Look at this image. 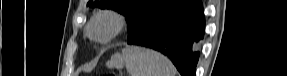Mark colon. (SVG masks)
Returning a JSON list of instances; mask_svg holds the SVG:
<instances>
[{
  "instance_id": "obj_1",
  "label": "colon",
  "mask_w": 287,
  "mask_h": 76,
  "mask_svg": "<svg viewBox=\"0 0 287 76\" xmlns=\"http://www.w3.org/2000/svg\"><path fill=\"white\" fill-rule=\"evenodd\" d=\"M110 76H114V74H110Z\"/></svg>"
}]
</instances>
